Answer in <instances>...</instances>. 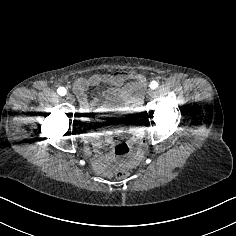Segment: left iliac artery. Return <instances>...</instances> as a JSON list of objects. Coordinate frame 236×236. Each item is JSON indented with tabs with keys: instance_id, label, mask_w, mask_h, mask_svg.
I'll list each match as a JSON object with an SVG mask.
<instances>
[{
	"instance_id": "1",
	"label": "left iliac artery",
	"mask_w": 236,
	"mask_h": 236,
	"mask_svg": "<svg viewBox=\"0 0 236 236\" xmlns=\"http://www.w3.org/2000/svg\"><path fill=\"white\" fill-rule=\"evenodd\" d=\"M158 87V83L156 82V81H152L151 83H150V88L151 89H156Z\"/></svg>"
}]
</instances>
